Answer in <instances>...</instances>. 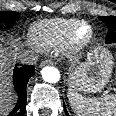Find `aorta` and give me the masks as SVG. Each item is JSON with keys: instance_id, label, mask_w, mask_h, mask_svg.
<instances>
[{"instance_id": "obj_1", "label": "aorta", "mask_w": 116, "mask_h": 116, "mask_svg": "<svg viewBox=\"0 0 116 116\" xmlns=\"http://www.w3.org/2000/svg\"><path fill=\"white\" fill-rule=\"evenodd\" d=\"M41 74H42L43 80L48 83H56L60 79V73L58 69L51 66L44 67L41 70Z\"/></svg>"}]
</instances>
